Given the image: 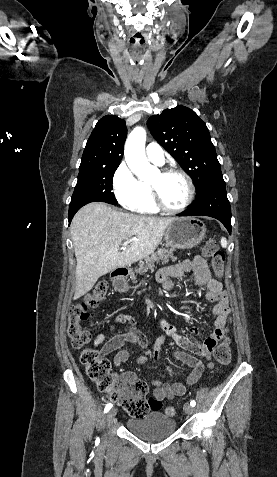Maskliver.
Segmentation results:
<instances>
[{"label":"liver","mask_w":277,"mask_h":477,"mask_svg":"<svg viewBox=\"0 0 277 477\" xmlns=\"http://www.w3.org/2000/svg\"><path fill=\"white\" fill-rule=\"evenodd\" d=\"M174 219L124 213L101 202L82 207L71 223L77 260L74 300L88 293L101 276L151 255ZM124 240L131 242L120 251Z\"/></svg>","instance_id":"1"}]
</instances>
